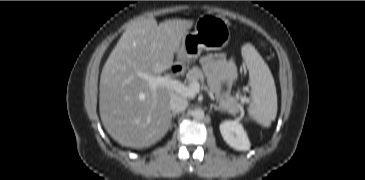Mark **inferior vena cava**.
Listing matches in <instances>:
<instances>
[{
    "label": "inferior vena cava",
    "mask_w": 365,
    "mask_h": 180,
    "mask_svg": "<svg viewBox=\"0 0 365 180\" xmlns=\"http://www.w3.org/2000/svg\"><path fill=\"white\" fill-rule=\"evenodd\" d=\"M170 109L173 111V113H179L186 109L188 102L187 99L179 94H174L170 98Z\"/></svg>",
    "instance_id": "1"
}]
</instances>
